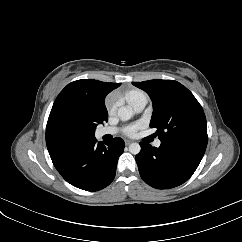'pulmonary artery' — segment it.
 Wrapping results in <instances>:
<instances>
[{
	"label": "pulmonary artery",
	"instance_id": "obj_1",
	"mask_svg": "<svg viewBox=\"0 0 242 242\" xmlns=\"http://www.w3.org/2000/svg\"><path fill=\"white\" fill-rule=\"evenodd\" d=\"M147 104V97L146 95H140L137 98H135L132 102H131V106L133 107L134 111L136 113H140L144 110L145 106ZM118 128L115 127H106L101 129L98 132L99 136H104V135H115L118 133ZM154 145L156 147H159L161 145V141L160 140H156L154 142Z\"/></svg>",
	"mask_w": 242,
	"mask_h": 242
}]
</instances>
